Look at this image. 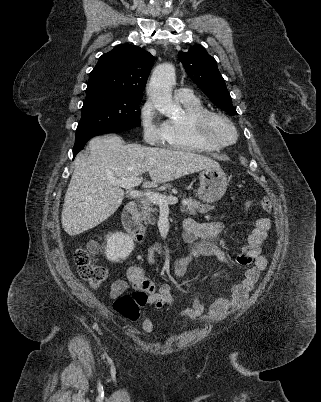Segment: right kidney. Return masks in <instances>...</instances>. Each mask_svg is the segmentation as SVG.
<instances>
[{
	"label": "right kidney",
	"mask_w": 321,
	"mask_h": 402,
	"mask_svg": "<svg viewBox=\"0 0 321 402\" xmlns=\"http://www.w3.org/2000/svg\"><path fill=\"white\" fill-rule=\"evenodd\" d=\"M105 255L111 262H119L126 259L134 250L133 238L122 232L107 235Z\"/></svg>",
	"instance_id": "right-kidney-1"
}]
</instances>
